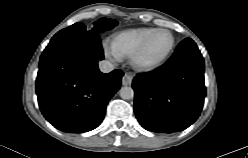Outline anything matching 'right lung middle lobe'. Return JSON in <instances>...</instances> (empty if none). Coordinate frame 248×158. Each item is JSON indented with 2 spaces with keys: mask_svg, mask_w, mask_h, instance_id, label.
Masks as SVG:
<instances>
[{
  "mask_svg": "<svg viewBox=\"0 0 248 158\" xmlns=\"http://www.w3.org/2000/svg\"><path fill=\"white\" fill-rule=\"evenodd\" d=\"M118 24V22L114 19H106V18H101L98 21L94 22V27L88 31L90 33L94 34H100L101 32L107 31L112 29ZM82 32H87L86 27L82 23H75L65 29H62L61 31L58 32V34H63V33H82Z\"/></svg>",
  "mask_w": 248,
  "mask_h": 158,
  "instance_id": "1",
  "label": "right lung middle lobe"
}]
</instances>
